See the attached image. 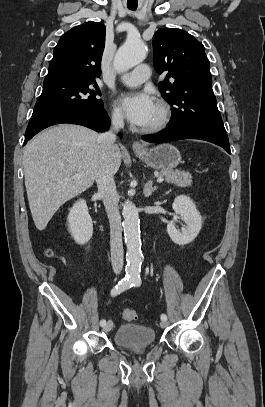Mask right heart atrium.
Listing matches in <instances>:
<instances>
[{
  "label": "right heart atrium",
  "instance_id": "d8ad5b80",
  "mask_svg": "<svg viewBox=\"0 0 265 407\" xmlns=\"http://www.w3.org/2000/svg\"><path fill=\"white\" fill-rule=\"evenodd\" d=\"M110 120H111V123H112L114 126H117V127H122L123 124H124V119H123L122 114H121L118 110H116V109H114V110L111 112Z\"/></svg>",
  "mask_w": 265,
  "mask_h": 407
}]
</instances>
